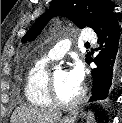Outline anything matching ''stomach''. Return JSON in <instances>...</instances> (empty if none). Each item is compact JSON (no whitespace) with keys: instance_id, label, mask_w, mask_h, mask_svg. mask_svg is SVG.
I'll use <instances>...</instances> for the list:
<instances>
[{"instance_id":"0dacf381","label":"stomach","mask_w":122,"mask_h":123,"mask_svg":"<svg viewBox=\"0 0 122 123\" xmlns=\"http://www.w3.org/2000/svg\"><path fill=\"white\" fill-rule=\"evenodd\" d=\"M77 121V116L76 115H70L63 117L62 119L59 120V123H75Z\"/></svg>"}]
</instances>
